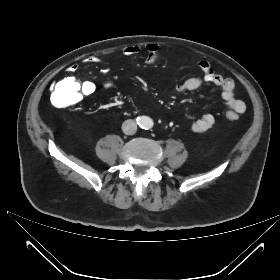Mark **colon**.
<instances>
[{
	"instance_id": "1",
	"label": "colon",
	"mask_w": 280,
	"mask_h": 280,
	"mask_svg": "<svg viewBox=\"0 0 280 280\" xmlns=\"http://www.w3.org/2000/svg\"><path fill=\"white\" fill-rule=\"evenodd\" d=\"M80 93L81 86L79 82L74 77L66 75L53 84L50 99L55 107H68L80 102ZM237 118L234 114L228 117L230 120Z\"/></svg>"
}]
</instances>
